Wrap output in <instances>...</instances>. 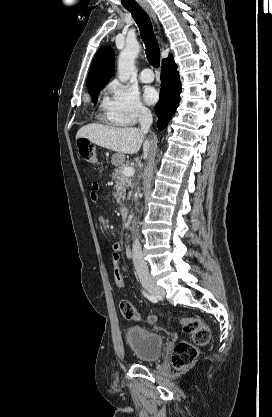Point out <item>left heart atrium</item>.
Segmentation results:
<instances>
[{"label": "left heart atrium", "mask_w": 272, "mask_h": 417, "mask_svg": "<svg viewBox=\"0 0 272 417\" xmlns=\"http://www.w3.org/2000/svg\"><path fill=\"white\" fill-rule=\"evenodd\" d=\"M144 98L147 103L154 104L159 98L157 90L153 87H146L144 90Z\"/></svg>", "instance_id": "left-heart-atrium-1"}]
</instances>
